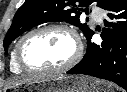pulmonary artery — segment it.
I'll return each instance as SVG.
<instances>
[{"mask_svg": "<svg viewBox=\"0 0 127 92\" xmlns=\"http://www.w3.org/2000/svg\"><path fill=\"white\" fill-rule=\"evenodd\" d=\"M92 16L96 22L102 23L104 13L101 10H94Z\"/></svg>", "mask_w": 127, "mask_h": 92, "instance_id": "1", "label": "pulmonary artery"}]
</instances>
